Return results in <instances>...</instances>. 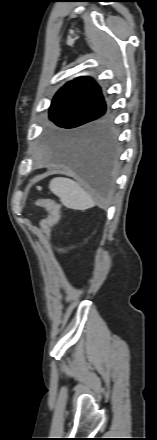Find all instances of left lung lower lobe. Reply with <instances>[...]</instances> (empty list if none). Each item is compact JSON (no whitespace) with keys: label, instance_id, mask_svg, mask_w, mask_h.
Segmentation results:
<instances>
[{"label":"left lung lower lobe","instance_id":"1","mask_svg":"<svg viewBox=\"0 0 157 440\" xmlns=\"http://www.w3.org/2000/svg\"><path fill=\"white\" fill-rule=\"evenodd\" d=\"M118 155L116 131L108 126L67 143L64 161L96 191L104 193L111 187Z\"/></svg>","mask_w":157,"mask_h":440}]
</instances>
